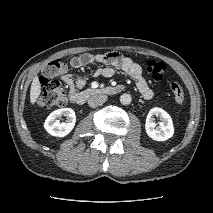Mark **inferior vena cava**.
Instances as JSON below:
<instances>
[{
    "mask_svg": "<svg viewBox=\"0 0 213 213\" xmlns=\"http://www.w3.org/2000/svg\"><path fill=\"white\" fill-rule=\"evenodd\" d=\"M107 96L104 94H97L93 95L88 99V104L90 107L95 108L97 106L102 105L104 102H106Z\"/></svg>",
    "mask_w": 213,
    "mask_h": 213,
    "instance_id": "1",
    "label": "inferior vena cava"
}]
</instances>
